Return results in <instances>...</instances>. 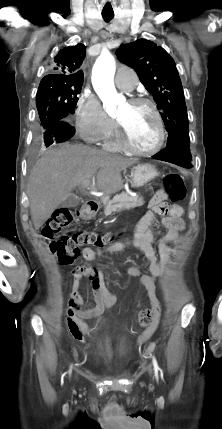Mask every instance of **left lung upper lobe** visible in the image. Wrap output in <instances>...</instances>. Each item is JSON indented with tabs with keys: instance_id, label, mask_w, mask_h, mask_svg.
<instances>
[{
	"instance_id": "5c2ea615",
	"label": "left lung upper lobe",
	"mask_w": 222,
	"mask_h": 429,
	"mask_svg": "<svg viewBox=\"0 0 222 429\" xmlns=\"http://www.w3.org/2000/svg\"><path fill=\"white\" fill-rule=\"evenodd\" d=\"M116 54L122 63L135 69L146 90L153 95L168 131L167 146L174 143L189 145L185 97L171 56L145 39L122 44Z\"/></svg>"
}]
</instances>
